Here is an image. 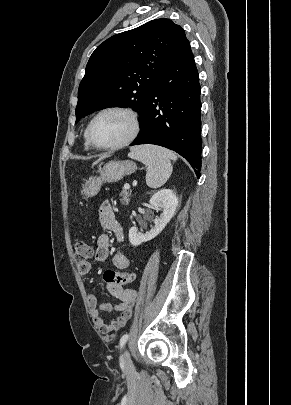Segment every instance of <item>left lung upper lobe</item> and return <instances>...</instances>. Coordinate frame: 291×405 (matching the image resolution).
<instances>
[{"mask_svg": "<svg viewBox=\"0 0 291 405\" xmlns=\"http://www.w3.org/2000/svg\"><path fill=\"white\" fill-rule=\"evenodd\" d=\"M186 41L181 26L155 19L114 35L92 53L78 89L76 123L105 107H132L145 113L157 78Z\"/></svg>", "mask_w": 291, "mask_h": 405, "instance_id": "obj_1", "label": "left lung upper lobe"}]
</instances>
